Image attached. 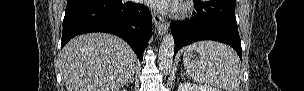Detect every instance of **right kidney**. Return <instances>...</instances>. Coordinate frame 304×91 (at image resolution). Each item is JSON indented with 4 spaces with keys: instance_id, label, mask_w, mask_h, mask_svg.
I'll use <instances>...</instances> for the list:
<instances>
[{
    "instance_id": "right-kidney-1",
    "label": "right kidney",
    "mask_w": 304,
    "mask_h": 91,
    "mask_svg": "<svg viewBox=\"0 0 304 91\" xmlns=\"http://www.w3.org/2000/svg\"><path fill=\"white\" fill-rule=\"evenodd\" d=\"M122 91H127L126 89H123Z\"/></svg>"
}]
</instances>
